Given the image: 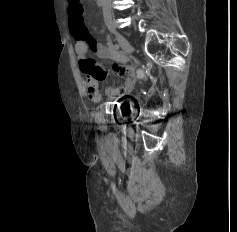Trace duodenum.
Returning <instances> with one entry per match:
<instances>
[{
  "label": "duodenum",
  "instance_id": "obj_1",
  "mask_svg": "<svg viewBox=\"0 0 237 232\" xmlns=\"http://www.w3.org/2000/svg\"><path fill=\"white\" fill-rule=\"evenodd\" d=\"M96 2L98 3V5H102L103 4V0H96Z\"/></svg>",
  "mask_w": 237,
  "mask_h": 232
}]
</instances>
